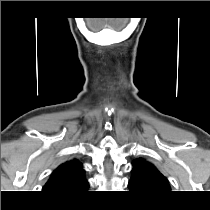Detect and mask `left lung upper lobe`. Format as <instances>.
<instances>
[{
    "instance_id": "obj_1",
    "label": "left lung upper lobe",
    "mask_w": 210,
    "mask_h": 210,
    "mask_svg": "<svg viewBox=\"0 0 210 210\" xmlns=\"http://www.w3.org/2000/svg\"><path fill=\"white\" fill-rule=\"evenodd\" d=\"M132 165V176L128 183L131 191L149 196L170 192L167 178L153 164L143 158H137Z\"/></svg>"
}]
</instances>
